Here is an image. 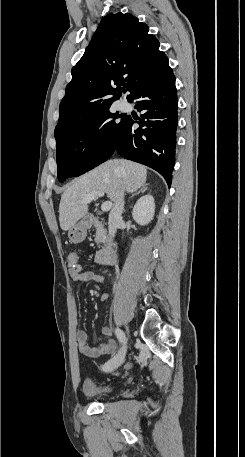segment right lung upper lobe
I'll list each match as a JSON object with an SVG mask.
<instances>
[{
	"mask_svg": "<svg viewBox=\"0 0 245 457\" xmlns=\"http://www.w3.org/2000/svg\"><path fill=\"white\" fill-rule=\"evenodd\" d=\"M148 31L145 23L129 13L102 18L82 58L72 68L56 128L110 106L119 99L121 86L131 95L139 85L170 68L167 56L159 51V41Z\"/></svg>",
	"mask_w": 245,
	"mask_h": 457,
	"instance_id": "1",
	"label": "right lung upper lobe"
}]
</instances>
